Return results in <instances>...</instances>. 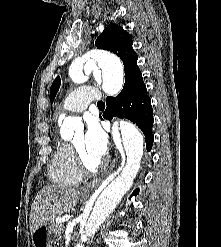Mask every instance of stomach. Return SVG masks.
I'll list each match as a JSON object with an SVG mask.
<instances>
[{
    "label": "stomach",
    "instance_id": "stomach-1",
    "mask_svg": "<svg viewBox=\"0 0 221 247\" xmlns=\"http://www.w3.org/2000/svg\"><path fill=\"white\" fill-rule=\"evenodd\" d=\"M31 238L33 247H52L55 238L52 223L36 228L31 233Z\"/></svg>",
    "mask_w": 221,
    "mask_h": 247
}]
</instances>
